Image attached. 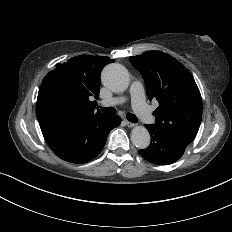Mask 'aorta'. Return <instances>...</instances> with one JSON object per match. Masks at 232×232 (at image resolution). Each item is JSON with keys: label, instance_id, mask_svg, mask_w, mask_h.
Returning a JSON list of instances; mask_svg holds the SVG:
<instances>
[{"label": "aorta", "instance_id": "1", "mask_svg": "<svg viewBox=\"0 0 232 232\" xmlns=\"http://www.w3.org/2000/svg\"><path fill=\"white\" fill-rule=\"evenodd\" d=\"M103 85L115 93L125 91L129 86V74L120 64L107 65L101 75ZM131 139L136 147L145 149L150 144V134L144 126H135L131 131Z\"/></svg>", "mask_w": 232, "mask_h": 232}]
</instances>
